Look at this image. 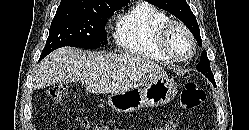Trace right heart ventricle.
Wrapping results in <instances>:
<instances>
[{
	"label": "right heart ventricle",
	"instance_id": "1",
	"mask_svg": "<svg viewBox=\"0 0 249 130\" xmlns=\"http://www.w3.org/2000/svg\"><path fill=\"white\" fill-rule=\"evenodd\" d=\"M169 16L146 1H139L121 14L116 22L114 41L124 52L170 64L158 46L160 29Z\"/></svg>",
	"mask_w": 249,
	"mask_h": 130
}]
</instances>
